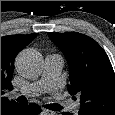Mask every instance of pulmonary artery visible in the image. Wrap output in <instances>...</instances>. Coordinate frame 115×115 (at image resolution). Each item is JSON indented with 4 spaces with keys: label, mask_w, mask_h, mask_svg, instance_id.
<instances>
[{
    "label": "pulmonary artery",
    "mask_w": 115,
    "mask_h": 115,
    "mask_svg": "<svg viewBox=\"0 0 115 115\" xmlns=\"http://www.w3.org/2000/svg\"><path fill=\"white\" fill-rule=\"evenodd\" d=\"M63 67V58L59 54H49L45 58V64L40 80L23 87L20 94L28 97L37 96L44 92H52L56 98H61L57 91L59 75ZM79 103H71L68 109L77 112Z\"/></svg>",
    "instance_id": "e3ab8cb5"
}]
</instances>
